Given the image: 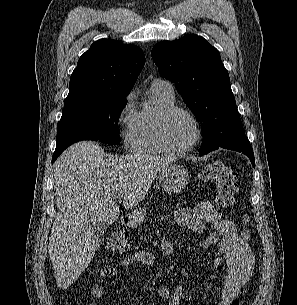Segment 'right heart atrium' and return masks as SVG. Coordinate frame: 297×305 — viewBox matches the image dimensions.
Returning a JSON list of instances; mask_svg holds the SVG:
<instances>
[{
    "instance_id": "obj_1",
    "label": "right heart atrium",
    "mask_w": 297,
    "mask_h": 305,
    "mask_svg": "<svg viewBox=\"0 0 297 305\" xmlns=\"http://www.w3.org/2000/svg\"><path fill=\"white\" fill-rule=\"evenodd\" d=\"M134 100V93H129L117 115L119 134L126 148L132 147V139L137 126V112L135 111Z\"/></svg>"
}]
</instances>
